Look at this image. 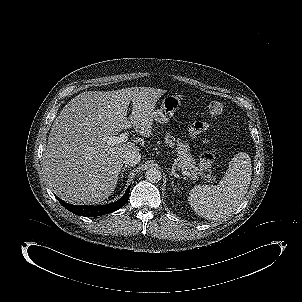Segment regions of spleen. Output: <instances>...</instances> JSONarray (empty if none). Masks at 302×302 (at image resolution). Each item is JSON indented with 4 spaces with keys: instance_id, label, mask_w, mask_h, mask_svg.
I'll list each match as a JSON object with an SVG mask.
<instances>
[{
    "instance_id": "spleen-1",
    "label": "spleen",
    "mask_w": 302,
    "mask_h": 302,
    "mask_svg": "<svg viewBox=\"0 0 302 302\" xmlns=\"http://www.w3.org/2000/svg\"><path fill=\"white\" fill-rule=\"evenodd\" d=\"M251 161L246 153L237 154L218 185H198L189 193L192 209L207 220L228 216L243 199L251 181Z\"/></svg>"
}]
</instances>
